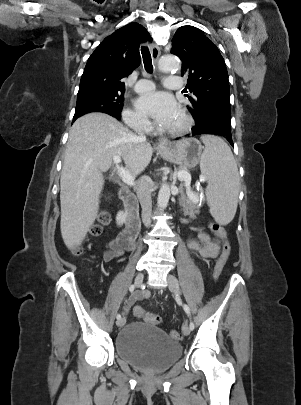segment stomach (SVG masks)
<instances>
[{
	"label": "stomach",
	"mask_w": 301,
	"mask_h": 405,
	"mask_svg": "<svg viewBox=\"0 0 301 405\" xmlns=\"http://www.w3.org/2000/svg\"><path fill=\"white\" fill-rule=\"evenodd\" d=\"M202 145L195 138L170 143L167 147L158 148L160 155L167 161L182 168H194L202 156Z\"/></svg>",
	"instance_id": "1"
}]
</instances>
